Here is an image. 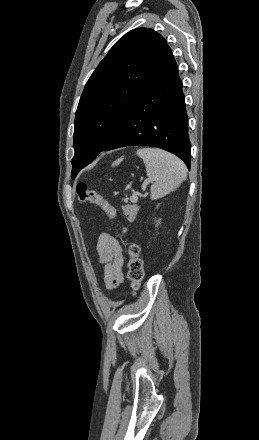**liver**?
<instances>
[{"instance_id": "6515ba94", "label": "liver", "mask_w": 259, "mask_h": 440, "mask_svg": "<svg viewBox=\"0 0 259 440\" xmlns=\"http://www.w3.org/2000/svg\"><path fill=\"white\" fill-rule=\"evenodd\" d=\"M121 161V159L117 160L113 165L118 164Z\"/></svg>"}]
</instances>
